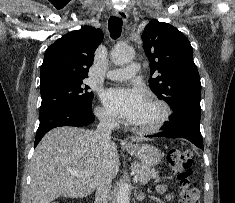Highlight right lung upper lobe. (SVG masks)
Masks as SVG:
<instances>
[{
	"instance_id": "cb5924a9",
	"label": "right lung upper lobe",
	"mask_w": 235,
	"mask_h": 203,
	"mask_svg": "<svg viewBox=\"0 0 235 203\" xmlns=\"http://www.w3.org/2000/svg\"><path fill=\"white\" fill-rule=\"evenodd\" d=\"M102 39V30L88 26L57 39L45 52L40 85L87 78L94 52Z\"/></svg>"
}]
</instances>
